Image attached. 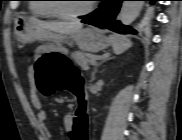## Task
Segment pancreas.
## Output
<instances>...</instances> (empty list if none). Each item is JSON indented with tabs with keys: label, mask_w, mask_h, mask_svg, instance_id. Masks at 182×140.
Wrapping results in <instances>:
<instances>
[{
	"label": "pancreas",
	"mask_w": 182,
	"mask_h": 140,
	"mask_svg": "<svg viewBox=\"0 0 182 140\" xmlns=\"http://www.w3.org/2000/svg\"><path fill=\"white\" fill-rule=\"evenodd\" d=\"M71 57L83 70L88 69L90 61L87 59L85 53L75 51L71 54Z\"/></svg>",
	"instance_id": "cf45deb5"
}]
</instances>
